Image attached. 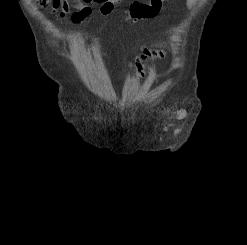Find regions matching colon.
<instances>
[{"label":"colon","mask_w":247,"mask_h":245,"mask_svg":"<svg viewBox=\"0 0 247 245\" xmlns=\"http://www.w3.org/2000/svg\"><path fill=\"white\" fill-rule=\"evenodd\" d=\"M51 0H37V3L44 7L50 3ZM100 4V13L109 14L120 0H93ZM165 57V52L163 50H155L148 47L143 48V52L138 61L133 62V68H136L137 74L140 78L145 76V70L148 63L154 59H163Z\"/></svg>","instance_id":"colon-1"}]
</instances>
